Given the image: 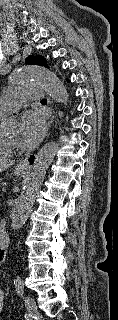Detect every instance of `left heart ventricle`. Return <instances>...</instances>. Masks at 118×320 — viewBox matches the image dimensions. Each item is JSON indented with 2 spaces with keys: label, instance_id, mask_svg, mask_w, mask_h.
<instances>
[{
  "label": "left heart ventricle",
  "instance_id": "obj_1",
  "mask_svg": "<svg viewBox=\"0 0 118 320\" xmlns=\"http://www.w3.org/2000/svg\"><path fill=\"white\" fill-rule=\"evenodd\" d=\"M17 134H18V130H17V128H14L11 131H9L8 133H6V136L13 138V139H16Z\"/></svg>",
  "mask_w": 118,
  "mask_h": 320
}]
</instances>
